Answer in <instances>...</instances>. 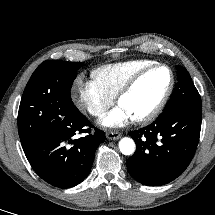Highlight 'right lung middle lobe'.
Masks as SVG:
<instances>
[{
	"label": "right lung middle lobe",
	"mask_w": 215,
	"mask_h": 215,
	"mask_svg": "<svg viewBox=\"0 0 215 215\" xmlns=\"http://www.w3.org/2000/svg\"><path fill=\"white\" fill-rule=\"evenodd\" d=\"M81 62L44 61L32 74L18 112L22 144L75 115L70 90Z\"/></svg>",
	"instance_id": "1"
}]
</instances>
